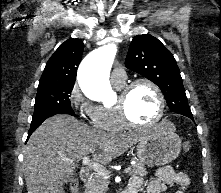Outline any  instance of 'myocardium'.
I'll return each instance as SVG.
<instances>
[{"instance_id": "f54148a6", "label": "myocardium", "mask_w": 221, "mask_h": 193, "mask_svg": "<svg viewBox=\"0 0 221 193\" xmlns=\"http://www.w3.org/2000/svg\"><path fill=\"white\" fill-rule=\"evenodd\" d=\"M139 85H147L151 87L154 90L158 99V112L155 115L154 119L148 123H139L133 120L127 108V101L132 90ZM115 106L117 108L122 123L126 127L136 128V129H147L154 127L162 120L165 113V97L162 90L155 82H153L150 79L139 78L122 86Z\"/></svg>"}]
</instances>
